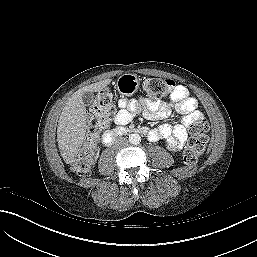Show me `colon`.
I'll list each match as a JSON object with an SVG mask.
<instances>
[{
    "instance_id": "1",
    "label": "colon",
    "mask_w": 257,
    "mask_h": 257,
    "mask_svg": "<svg viewBox=\"0 0 257 257\" xmlns=\"http://www.w3.org/2000/svg\"><path fill=\"white\" fill-rule=\"evenodd\" d=\"M171 79L149 78L144 83L145 91L151 100L163 98L174 87ZM115 97L111 90L104 89L93 99L91 113L88 119L87 135L84 145L74 164L79 174H86L91 167V158L95 151L101 132L108 126L114 114ZM193 137L184 151L187 164H195L204 153L208 142L209 124L205 119L196 121L192 128Z\"/></svg>"
}]
</instances>
